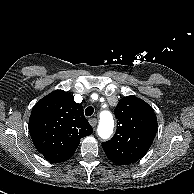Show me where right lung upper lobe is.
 Wrapping results in <instances>:
<instances>
[{
  "mask_svg": "<svg viewBox=\"0 0 194 194\" xmlns=\"http://www.w3.org/2000/svg\"><path fill=\"white\" fill-rule=\"evenodd\" d=\"M92 132L82 106L63 90L38 101L29 119V133L37 151L53 163L70 159L80 139Z\"/></svg>",
  "mask_w": 194,
  "mask_h": 194,
  "instance_id": "obj_1",
  "label": "right lung upper lobe"
}]
</instances>
